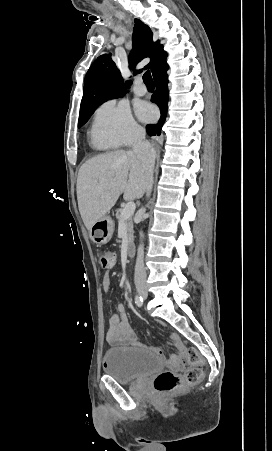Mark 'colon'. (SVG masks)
I'll return each mask as SVG.
<instances>
[{
    "mask_svg": "<svg viewBox=\"0 0 272 451\" xmlns=\"http://www.w3.org/2000/svg\"><path fill=\"white\" fill-rule=\"evenodd\" d=\"M99 265L106 269L114 263V254L108 251L98 253ZM170 370L162 371L153 381V386L160 393H170L181 386H190L200 379L202 359L192 348L183 350L173 361Z\"/></svg>",
    "mask_w": 272,
    "mask_h": 451,
    "instance_id": "1",
    "label": "colon"
}]
</instances>
